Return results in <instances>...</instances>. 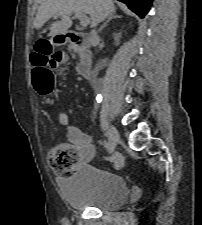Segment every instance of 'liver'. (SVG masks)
<instances>
[{"instance_id": "6515ba94", "label": "liver", "mask_w": 202, "mask_h": 225, "mask_svg": "<svg viewBox=\"0 0 202 225\" xmlns=\"http://www.w3.org/2000/svg\"><path fill=\"white\" fill-rule=\"evenodd\" d=\"M115 10L113 0H44L38 8L33 27L40 29L50 18L61 17L60 21L51 24L50 36L66 34L72 26V13L88 14L91 27H95Z\"/></svg>"}]
</instances>
